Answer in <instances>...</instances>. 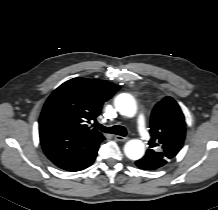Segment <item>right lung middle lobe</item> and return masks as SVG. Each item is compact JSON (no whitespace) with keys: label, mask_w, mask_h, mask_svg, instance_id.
<instances>
[{"label":"right lung middle lobe","mask_w":218,"mask_h":210,"mask_svg":"<svg viewBox=\"0 0 218 210\" xmlns=\"http://www.w3.org/2000/svg\"><path fill=\"white\" fill-rule=\"evenodd\" d=\"M62 125V118L56 111L43 108L39 120L40 130H62Z\"/></svg>","instance_id":"dd1d6c3e"}]
</instances>
